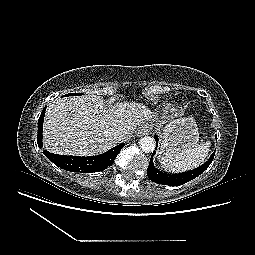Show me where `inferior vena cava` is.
<instances>
[{"label": "inferior vena cava", "mask_w": 255, "mask_h": 255, "mask_svg": "<svg viewBox=\"0 0 255 255\" xmlns=\"http://www.w3.org/2000/svg\"><path fill=\"white\" fill-rule=\"evenodd\" d=\"M128 134H129V132L125 129L118 130L115 132V136L119 141L125 140L128 137Z\"/></svg>", "instance_id": "inferior-vena-cava-1"}]
</instances>
